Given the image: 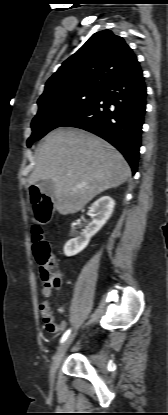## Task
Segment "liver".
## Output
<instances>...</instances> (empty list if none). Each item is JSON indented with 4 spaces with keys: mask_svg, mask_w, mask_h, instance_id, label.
Returning <instances> with one entry per match:
<instances>
[{
    "mask_svg": "<svg viewBox=\"0 0 168 415\" xmlns=\"http://www.w3.org/2000/svg\"><path fill=\"white\" fill-rule=\"evenodd\" d=\"M36 152L35 169L28 183L52 179L55 182L52 202L62 215L80 211L95 196L120 186L131 176V169L119 151L81 129L51 131Z\"/></svg>",
    "mask_w": 168,
    "mask_h": 415,
    "instance_id": "6515ba94",
    "label": "liver"
}]
</instances>
